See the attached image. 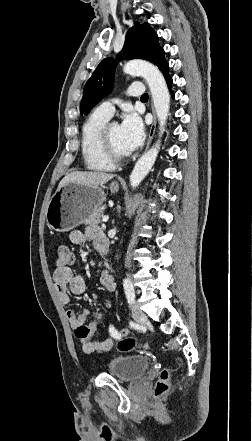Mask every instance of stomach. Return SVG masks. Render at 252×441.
Here are the masks:
<instances>
[{"label": "stomach", "instance_id": "0dacf381", "mask_svg": "<svg viewBox=\"0 0 252 441\" xmlns=\"http://www.w3.org/2000/svg\"><path fill=\"white\" fill-rule=\"evenodd\" d=\"M109 189L116 193L119 185L112 182ZM105 199L99 186L68 183L52 196L46 211L47 225L53 231L67 232L85 222Z\"/></svg>", "mask_w": 252, "mask_h": 441}]
</instances>
